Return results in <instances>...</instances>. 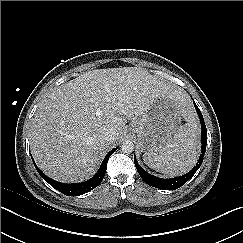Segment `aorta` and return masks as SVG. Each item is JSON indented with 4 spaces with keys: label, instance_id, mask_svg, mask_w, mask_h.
Wrapping results in <instances>:
<instances>
[{
    "label": "aorta",
    "instance_id": "obj_1",
    "mask_svg": "<svg viewBox=\"0 0 243 243\" xmlns=\"http://www.w3.org/2000/svg\"><path fill=\"white\" fill-rule=\"evenodd\" d=\"M121 149L124 153H132L134 150V143L130 140H125L121 145Z\"/></svg>",
    "mask_w": 243,
    "mask_h": 243
}]
</instances>
